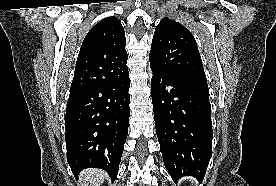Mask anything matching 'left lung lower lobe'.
I'll use <instances>...</instances> for the list:
<instances>
[{
  "label": "left lung lower lobe",
  "instance_id": "0a47b994",
  "mask_svg": "<svg viewBox=\"0 0 276 186\" xmlns=\"http://www.w3.org/2000/svg\"><path fill=\"white\" fill-rule=\"evenodd\" d=\"M152 70L155 127L164 165L174 180L189 175L202 181L212 156L208 86Z\"/></svg>",
  "mask_w": 276,
  "mask_h": 186
}]
</instances>
